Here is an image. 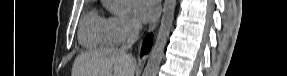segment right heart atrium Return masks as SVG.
<instances>
[{
    "label": "right heart atrium",
    "mask_w": 287,
    "mask_h": 76,
    "mask_svg": "<svg viewBox=\"0 0 287 76\" xmlns=\"http://www.w3.org/2000/svg\"><path fill=\"white\" fill-rule=\"evenodd\" d=\"M110 39L120 43L131 38L138 31V23L128 15H114L107 19Z\"/></svg>",
    "instance_id": "1"
}]
</instances>
